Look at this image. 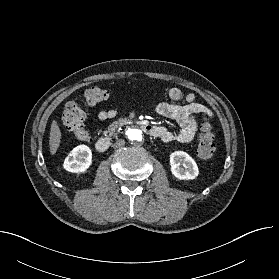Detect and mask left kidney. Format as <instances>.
<instances>
[{
  "mask_svg": "<svg viewBox=\"0 0 279 279\" xmlns=\"http://www.w3.org/2000/svg\"><path fill=\"white\" fill-rule=\"evenodd\" d=\"M170 166L172 174L179 180H192L199 174L195 160L184 151L171 153Z\"/></svg>",
  "mask_w": 279,
  "mask_h": 279,
  "instance_id": "5707ae66",
  "label": "left kidney"
}]
</instances>
